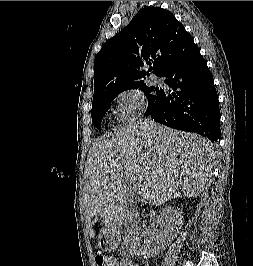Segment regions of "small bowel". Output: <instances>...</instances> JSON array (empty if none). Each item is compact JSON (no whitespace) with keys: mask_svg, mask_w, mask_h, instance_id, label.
<instances>
[{"mask_svg":"<svg viewBox=\"0 0 253 266\" xmlns=\"http://www.w3.org/2000/svg\"><path fill=\"white\" fill-rule=\"evenodd\" d=\"M117 266H137L136 263L134 261H126V260H122L120 261V263L117 262Z\"/></svg>","mask_w":253,"mask_h":266,"instance_id":"obj_1","label":"small bowel"}]
</instances>
